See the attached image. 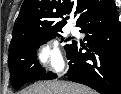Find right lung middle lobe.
I'll list each match as a JSON object with an SVG mask.
<instances>
[{
	"mask_svg": "<svg viewBox=\"0 0 121 94\" xmlns=\"http://www.w3.org/2000/svg\"><path fill=\"white\" fill-rule=\"evenodd\" d=\"M58 31L62 32V30ZM55 36H60L57 31H31L15 43L10 44L8 66L10 81L15 89H19L25 83L37 80L45 74L44 68L36 61L35 50L39 45ZM74 43L73 41L72 44L65 46L67 53Z\"/></svg>",
	"mask_w": 121,
	"mask_h": 94,
	"instance_id": "dd1d6c3e",
	"label": "right lung middle lobe"
}]
</instances>
